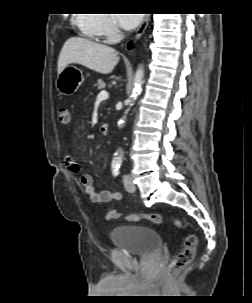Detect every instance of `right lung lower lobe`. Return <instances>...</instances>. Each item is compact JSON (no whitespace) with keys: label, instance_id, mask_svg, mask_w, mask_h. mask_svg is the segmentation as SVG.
<instances>
[{"label":"right lung lower lobe","instance_id":"obj_1","mask_svg":"<svg viewBox=\"0 0 252 303\" xmlns=\"http://www.w3.org/2000/svg\"><path fill=\"white\" fill-rule=\"evenodd\" d=\"M128 46H129V48H130V47L132 46V43L130 42Z\"/></svg>","mask_w":252,"mask_h":303}]
</instances>
